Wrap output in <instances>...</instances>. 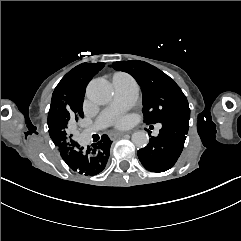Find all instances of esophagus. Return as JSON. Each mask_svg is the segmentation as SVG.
Here are the masks:
<instances>
[{"instance_id": "1", "label": "esophagus", "mask_w": 241, "mask_h": 241, "mask_svg": "<svg viewBox=\"0 0 241 241\" xmlns=\"http://www.w3.org/2000/svg\"><path fill=\"white\" fill-rule=\"evenodd\" d=\"M126 133L125 132H113L109 134V137L111 139H116L118 137L124 136Z\"/></svg>"}]
</instances>
